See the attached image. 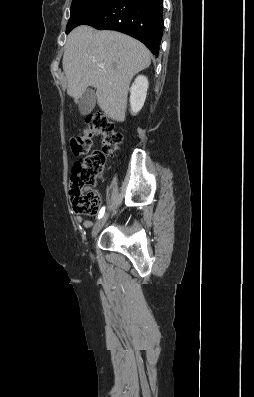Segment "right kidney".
<instances>
[{
    "label": "right kidney",
    "instance_id": "1",
    "mask_svg": "<svg viewBox=\"0 0 254 397\" xmlns=\"http://www.w3.org/2000/svg\"><path fill=\"white\" fill-rule=\"evenodd\" d=\"M148 86V79L143 75H139L132 84L130 88V106L132 114H136L142 109Z\"/></svg>",
    "mask_w": 254,
    "mask_h": 397
}]
</instances>
